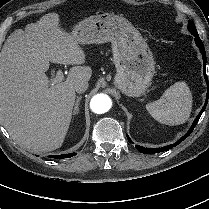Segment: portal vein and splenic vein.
Masks as SVG:
<instances>
[{
	"label": "portal vein and splenic vein",
	"mask_w": 209,
	"mask_h": 209,
	"mask_svg": "<svg viewBox=\"0 0 209 209\" xmlns=\"http://www.w3.org/2000/svg\"><path fill=\"white\" fill-rule=\"evenodd\" d=\"M64 80V75L61 70H58L55 78L51 79L50 85L53 86L56 83L62 82Z\"/></svg>",
	"instance_id": "obj_1"
}]
</instances>
